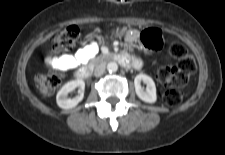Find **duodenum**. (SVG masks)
Segmentation results:
<instances>
[{
  "mask_svg": "<svg viewBox=\"0 0 225 155\" xmlns=\"http://www.w3.org/2000/svg\"><path fill=\"white\" fill-rule=\"evenodd\" d=\"M111 58L117 62H119L124 67H131V66H138L139 64L136 63L129 55L125 54H113ZM92 68L91 66H86L81 68L76 77L78 80H87L91 75Z\"/></svg>",
  "mask_w": 225,
  "mask_h": 155,
  "instance_id": "410a0bca",
  "label": "duodenum"
}]
</instances>
